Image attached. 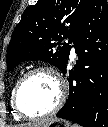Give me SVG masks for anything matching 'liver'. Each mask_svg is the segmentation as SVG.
I'll list each match as a JSON object with an SVG mask.
<instances>
[{
    "label": "liver",
    "mask_w": 108,
    "mask_h": 127,
    "mask_svg": "<svg viewBox=\"0 0 108 127\" xmlns=\"http://www.w3.org/2000/svg\"><path fill=\"white\" fill-rule=\"evenodd\" d=\"M53 120H54V118H47V119H43V120H38L34 123L22 124L18 127H43V126L49 124L50 122H52Z\"/></svg>",
    "instance_id": "6515ba94"
}]
</instances>
